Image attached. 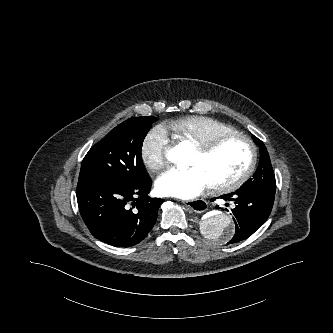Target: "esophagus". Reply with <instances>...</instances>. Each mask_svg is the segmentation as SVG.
I'll return each mask as SVG.
<instances>
[{"instance_id":"34e87169","label":"esophagus","mask_w":333,"mask_h":333,"mask_svg":"<svg viewBox=\"0 0 333 333\" xmlns=\"http://www.w3.org/2000/svg\"><path fill=\"white\" fill-rule=\"evenodd\" d=\"M183 203L185 206H187L196 213H202L207 210V203L201 199L183 201Z\"/></svg>"}]
</instances>
